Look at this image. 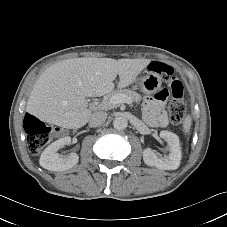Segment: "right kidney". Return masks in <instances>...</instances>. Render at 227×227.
<instances>
[{
	"mask_svg": "<svg viewBox=\"0 0 227 227\" xmlns=\"http://www.w3.org/2000/svg\"><path fill=\"white\" fill-rule=\"evenodd\" d=\"M70 143L71 138L67 136L50 144L40 156V166L50 171H64L75 166L79 160V156L76 153L64 158L57 153L59 149Z\"/></svg>",
	"mask_w": 227,
	"mask_h": 227,
	"instance_id": "1",
	"label": "right kidney"
}]
</instances>
